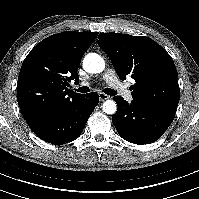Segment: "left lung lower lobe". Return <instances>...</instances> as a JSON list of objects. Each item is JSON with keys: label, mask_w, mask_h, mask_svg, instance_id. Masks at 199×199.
Returning a JSON list of instances; mask_svg holds the SVG:
<instances>
[{"label": "left lung lower lobe", "mask_w": 199, "mask_h": 199, "mask_svg": "<svg viewBox=\"0 0 199 199\" xmlns=\"http://www.w3.org/2000/svg\"><path fill=\"white\" fill-rule=\"evenodd\" d=\"M114 100L118 109L112 116V122L118 134L134 144H150L158 140L174 119L175 114L135 99L128 103L116 96Z\"/></svg>", "instance_id": "obj_1"}]
</instances>
